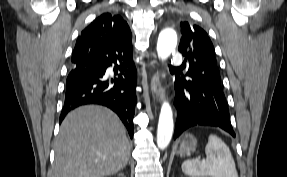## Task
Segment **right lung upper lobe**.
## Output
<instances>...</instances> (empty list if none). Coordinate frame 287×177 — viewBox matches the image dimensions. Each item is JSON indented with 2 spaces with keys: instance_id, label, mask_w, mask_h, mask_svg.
Wrapping results in <instances>:
<instances>
[{
  "instance_id": "right-lung-upper-lobe-1",
  "label": "right lung upper lobe",
  "mask_w": 287,
  "mask_h": 177,
  "mask_svg": "<svg viewBox=\"0 0 287 177\" xmlns=\"http://www.w3.org/2000/svg\"><path fill=\"white\" fill-rule=\"evenodd\" d=\"M131 40L130 28L123 18L119 15L104 13L81 32L72 54V63L75 64L85 59L92 45L117 41L132 44Z\"/></svg>"
}]
</instances>
